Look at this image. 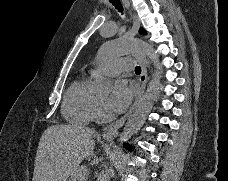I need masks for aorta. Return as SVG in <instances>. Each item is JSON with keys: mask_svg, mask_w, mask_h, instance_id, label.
Instances as JSON below:
<instances>
[{"mask_svg": "<svg viewBox=\"0 0 228 181\" xmlns=\"http://www.w3.org/2000/svg\"><path fill=\"white\" fill-rule=\"evenodd\" d=\"M132 52L147 56L153 63L155 71L145 94L140 99L138 105L129 117L120 134L119 141L122 145L123 142L128 141L140 130L153 108L154 102L158 95V87L160 85L159 76L162 70L161 66L159 65V56L155 53L154 48L150 44L138 39H130L126 37L114 41H108L104 43L98 51V58L101 61ZM110 88L111 83L104 77H95L93 89L96 93L105 94ZM110 177L111 170H108L105 172L104 180L109 181Z\"/></svg>", "mask_w": 228, "mask_h": 181, "instance_id": "aorta-1", "label": "aorta"}]
</instances>
